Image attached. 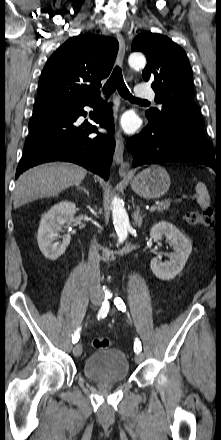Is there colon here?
<instances>
[{"label":"colon","mask_w":221,"mask_h":440,"mask_svg":"<svg viewBox=\"0 0 221 440\" xmlns=\"http://www.w3.org/2000/svg\"><path fill=\"white\" fill-rule=\"evenodd\" d=\"M184 219L190 225L210 227L214 223V214L211 210L189 211L184 215ZM110 345L111 341L108 338H96L92 341V346L98 350L107 349Z\"/></svg>","instance_id":"obj_1"}]
</instances>
